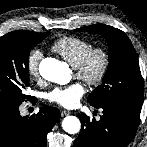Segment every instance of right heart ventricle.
<instances>
[{"instance_id": "e07e8e85", "label": "right heart ventricle", "mask_w": 147, "mask_h": 147, "mask_svg": "<svg viewBox=\"0 0 147 147\" xmlns=\"http://www.w3.org/2000/svg\"><path fill=\"white\" fill-rule=\"evenodd\" d=\"M91 47L92 43L87 39L64 36L56 40L51 48L71 66L75 67Z\"/></svg>"}]
</instances>
